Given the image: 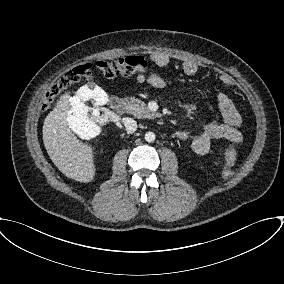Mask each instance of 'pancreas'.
Masks as SVG:
<instances>
[{
  "label": "pancreas",
  "instance_id": "obj_1",
  "mask_svg": "<svg viewBox=\"0 0 284 284\" xmlns=\"http://www.w3.org/2000/svg\"><path fill=\"white\" fill-rule=\"evenodd\" d=\"M123 103L126 106L127 112L132 114L137 118H155L157 116L156 113L152 112L147 105L134 97H125L123 99Z\"/></svg>",
  "mask_w": 284,
  "mask_h": 284
}]
</instances>
